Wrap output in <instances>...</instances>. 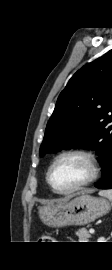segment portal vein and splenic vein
<instances>
[{
    "label": "portal vein and splenic vein",
    "instance_id": "1",
    "mask_svg": "<svg viewBox=\"0 0 112 270\" xmlns=\"http://www.w3.org/2000/svg\"><path fill=\"white\" fill-rule=\"evenodd\" d=\"M89 232H90V233H94V232H95L94 228H90V229H89Z\"/></svg>",
    "mask_w": 112,
    "mask_h": 270
}]
</instances>
